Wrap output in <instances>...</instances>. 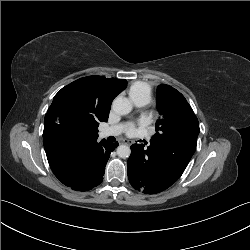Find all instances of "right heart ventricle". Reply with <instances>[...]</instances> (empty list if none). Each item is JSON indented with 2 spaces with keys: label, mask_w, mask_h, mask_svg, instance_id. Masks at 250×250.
Here are the masks:
<instances>
[{
  "label": "right heart ventricle",
  "mask_w": 250,
  "mask_h": 250,
  "mask_svg": "<svg viewBox=\"0 0 250 250\" xmlns=\"http://www.w3.org/2000/svg\"><path fill=\"white\" fill-rule=\"evenodd\" d=\"M128 93L133 102L143 100L148 103L152 95V86L144 81H136L130 85Z\"/></svg>",
  "instance_id": "right-heart-ventricle-1"
}]
</instances>
